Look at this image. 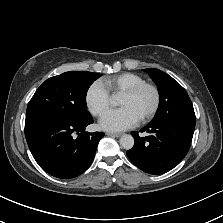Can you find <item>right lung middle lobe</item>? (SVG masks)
<instances>
[{"label": "right lung middle lobe", "mask_w": 223, "mask_h": 223, "mask_svg": "<svg viewBox=\"0 0 223 223\" xmlns=\"http://www.w3.org/2000/svg\"><path fill=\"white\" fill-rule=\"evenodd\" d=\"M99 77L98 73L69 71L47 79L28 103L25 127L52 121H89L86 93Z\"/></svg>", "instance_id": "dd1d6c3e"}]
</instances>
